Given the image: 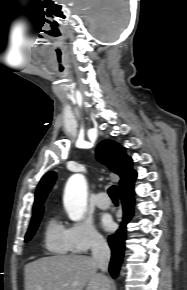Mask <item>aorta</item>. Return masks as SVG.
<instances>
[{
	"label": "aorta",
	"instance_id": "1",
	"mask_svg": "<svg viewBox=\"0 0 187 290\" xmlns=\"http://www.w3.org/2000/svg\"><path fill=\"white\" fill-rule=\"evenodd\" d=\"M63 200L69 218L73 221L81 220L87 207V184L83 175L74 174L69 178Z\"/></svg>",
	"mask_w": 187,
	"mask_h": 290
}]
</instances>
